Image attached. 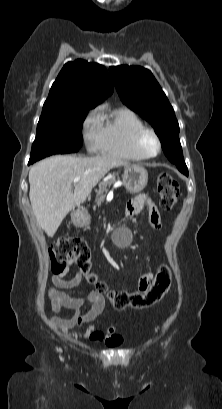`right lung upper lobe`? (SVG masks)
<instances>
[{
	"label": "right lung upper lobe",
	"instance_id": "1",
	"mask_svg": "<svg viewBox=\"0 0 222 409\" xmlns=\"http://www.w3.org/2000/svg\"><path fill=\"white\" fill-rule=\"evenodd\" d=\"M112 92L113 85L104 66L77 59L64 65L43 110L67 106L95 107Z\"/></svg>",
	"mask_w": 222,
	"mask_h": 409
}]
</instances>
